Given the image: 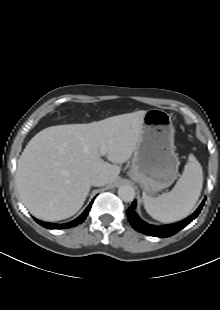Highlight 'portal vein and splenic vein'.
Returning a JSON list of instances; mask_svg holds the SVG:
<instances>
[{"instance_id":"18ae733b","label":"portal vein and splenic vein","mask_w":220,"mask_h":310,"mask_svg":"<svg viewBox=\"0 0 220 310\" xmlns=\"http://www.w3.org/2000/svg\"><path fill=\"white\" fill-rule=\"evenodd\" d=\"M101 155H105L106 154V148L104 146L101 147Z\"/></svg>"}]
</instances>
